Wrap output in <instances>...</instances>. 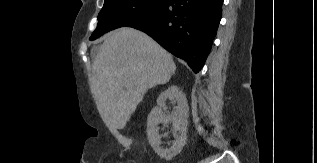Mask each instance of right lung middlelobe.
<instances>
[{"label":"right lung middle lobe","instance_id":"right-lung-middle-lobe-1","mask_svg":"<svg viewBox=\"0 0 317 163\" xmlns=\"http://www.w3.org/2000/svg\"><path fill=\"white\" fill-rule=\"evenodd\" d=\"M168 0H105L98 15V25L90 40L104 33L143 18L163 6Z\"/></svg>","mask_w":317,"mask_h":163}]
</instances>
